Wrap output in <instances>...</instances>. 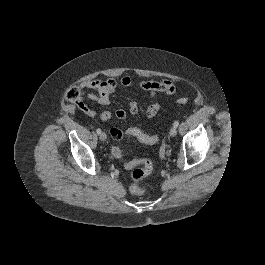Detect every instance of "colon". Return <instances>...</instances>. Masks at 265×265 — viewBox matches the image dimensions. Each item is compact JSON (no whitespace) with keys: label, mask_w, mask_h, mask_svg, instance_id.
Returning a JSON list of instances; mask_svg holds the SVG:
<instances>
[{"label":"colon","mask_w":265,"mask_h":265,"mask_svg":"<svg viewBox=\"0 0 265 265\" xmlns=\"http://www.w3.org/2000/svg\"><path fill=\"white\" fill-rule=\"evenodd\" d=\"M169 91L168 88L165 89ZM67 100L82 104L81 93L76 87L69 88L65 94ZM179 104H186L188 102L187 98H179L177 100ZM110 134L112 138L118 140L121 139L124 134H128L136 137L139 141L146 144H155L159 141L158 135H147L137 128H129L125 133L121 130H111ZM115 154L119 155L118 149H114ZM125 167L131 169V179L132 183L130 185V192L133 195H142L145 192V188L140 184L141 180L148 176L153 169L152 162L149 159L141 158L135 159L125 163Z\"/></svg>","instance_id":"colon-1"}]
</instances>
